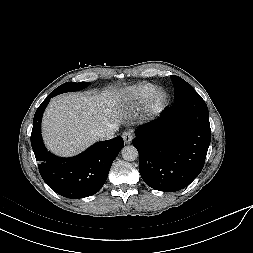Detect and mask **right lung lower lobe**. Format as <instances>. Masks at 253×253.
I'll return each instance as SVG.
<instances>
[{"mask_svg": "<svg viewBox=\"0 0 253 253\" xmlns=\"http://www.w3.org/2000/svg\"><path fill=\"white\" fill-rule=\"evenodd\" d=\"M52 92L38 107L31 133V145L45 183L61 196L77 199L97 193L104 185L110 167L124 146L122 137L101 141L71 158H59L45 148L41 137V118Z\"/></svg>", "mask_w": 253, "mask_h": 253, "instance_id": "right-lung-lower-lobe-1", "label": "right lung lower lobe"}]
</instances>
